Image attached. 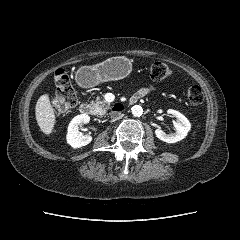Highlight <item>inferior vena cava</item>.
<instances>
[{"label":"inferior vena cava","mask_w":240,"mask_h":240,"mask_svg":"<svg viewBox=\"0 0 240 240\" xmlns=\"http://www.w3.org/2000/svg\"><path fill=\"white\" fill-rule=\"evenodd\" d=\"M123 117V114L121 113H112L111 114V119L112 121H116V120H119Z\"/></svg>","instance_id":"602c4592"}]
</instances>
